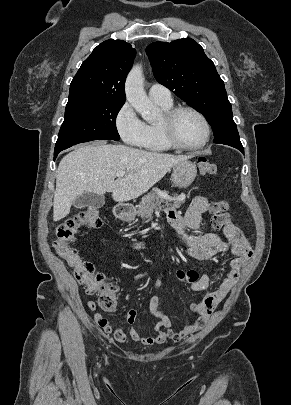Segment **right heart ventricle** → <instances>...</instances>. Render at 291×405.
Here are the masks:
<instances>
[{
  "label": "right heart ventricle",
  "instance_id": "right-heart-ventricle-1",
  "mask_svg": "<svg viewBox=\"0 0 291 405\" xmlns=\"http://www.w3.org/2000/svg\"><path fill=\"white\" fill-rule=\"evenodd\" d=\"M164 114L173 107V103L155 101ZM161 120V119H160ZM159 121L145 123V136L141 147L151 152H164L173 149L164 138Z\"/></svg>",
  "mask_w": 291,
  "mask_h": 405
}]
</instances>
